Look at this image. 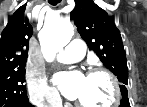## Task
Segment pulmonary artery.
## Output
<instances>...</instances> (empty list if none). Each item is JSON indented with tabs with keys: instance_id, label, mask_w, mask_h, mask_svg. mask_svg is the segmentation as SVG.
I'll list each match as a JSON object with an SVG mask.
<instances>
[{
	"instance_id": "1",
	"label": "pulmonary artery",
	"mask_w": 147,
	"mask_h": 107,
	"mask_svg": "<svg viewBox=\"0 0 147 107\" xmlns=\"http://www.w3.org/2000/svg\"><path fill=\"white\" fill-rule=\"evenodd\" d=\"M86 51V45L80 39H74L63 51L57 55L61 63H74L81 60Z\"/></svg>"
}]
</instances>
